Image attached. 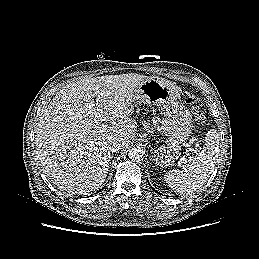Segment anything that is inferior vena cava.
Here are the masks:
<instances>
[{
	"label": "inferior vena cava",
	"instance_id": "602c4592",
	"mask_svg": "<svg viewBox=\"0 0 259 259\" xmlns=\"http://www.w3.org/2000/svg\"><path fill=\"white\" fill-rule=\"evenodd\" d=\"M109 149H110L111 152H117L120 149H122V143L119 142V141H116V140L111 141L109 143Z\"/></svg>",
	"mask_w": 259,
	"mask_h": 259
}]
</instances>
